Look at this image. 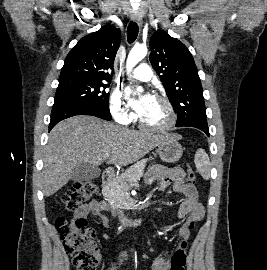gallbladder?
Wrapping results in <instances>:
<instances>
[{"instance_id": "gallbladder-1", "label": "gallbladder", "mask_w": 267, "mask_h": 270, "mask_svg": "<svg viewBox=\"0 0 267 270\" xmlns=\"http://www.w3.org/2000/svg\"><path fill=\"white\" fill-rule=\"evenodd\" d=\"M100 174L101 170L99 167L87 163H82L74 168L72 180L74 182L90 181L98 178Z\"/></svg>"}]
</instances>
